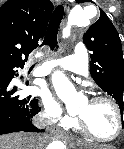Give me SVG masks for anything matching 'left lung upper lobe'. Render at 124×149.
<instances>
[{"label":"left lung upper lobe","instance_id":"1","mask_svg":"<svg viewBox=\"0 0 124 149\" xmlns=\"http://www.w3.org/2000/svg\"><path fill=\"white\" fill-rule=\"evenodd\" d=\"M81 3L82 0H77ZM100 18L83 35L90 54V73L94 81L112 96L123 112L124 59L119 34L107 15L100 10Z\"/></svg>","mask_w":124,"mask_h":149}]
</instances>
